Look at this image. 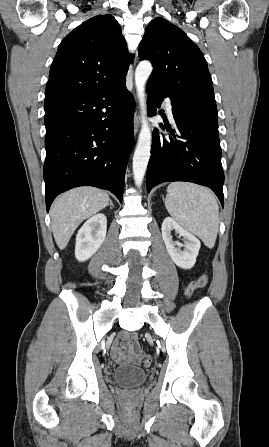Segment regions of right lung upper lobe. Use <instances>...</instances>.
Listing matches in <instances>:
<instances>
[{
    "instance_id": "obj_1",
    "label": "right lung upper lobe",
    "mask_w": 269,
    "mask_h": 447,
    "mask_svg": "<svg viewBox=\"0 0 269 447\" xmlns=\"http://www.w3.org/2000/svg\"><path fill=\"white\" fill-rule=\"evenodd\" d=\"M133 58L116 19L109 14L95 16L60 43L45 97L90 92L113 84L126 77Z\"/></svg>"
}]
</instances>
